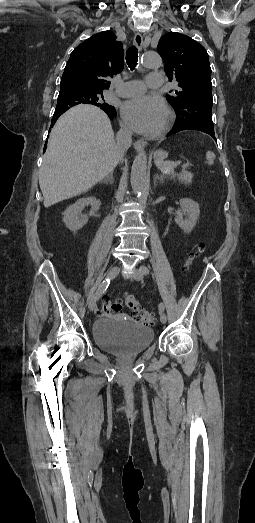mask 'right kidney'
Segmentation results:
<instances>
[{
	"label": "right kidney",
	"instance_id": "obj_1",
	"mask_svg": "<svg viewBox=\"0 0 255 523\" xmlns=\"http://www.w3.org/2000/svg\"><path fill=\"white\" fill-rule=\"evenodd\" d=\"M100 204V200H96V198L91 196V198H80L75 204L68 206L65 212H63V222L66 228H69L71 232H76V230L83 228L88 222V216H82L81 214L83 208H85V206H91V214H94V212L99 210Z\"/></svg>",
	"mask_w": 255,
	"mask_h": 523
}]
</instances>
